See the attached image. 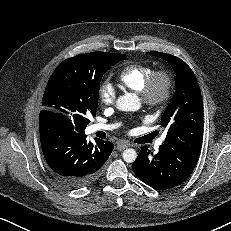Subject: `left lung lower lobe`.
<instances>
[{"label": "left lung lower lobe", "mask_w": 231, "mask_h": 231, "mask_svg": "<svg viewBox=\"0 0 231 231\" xmlns=\"http://www.w3.org/2000/svg\"><path fill=\"white\" fill-rule=\"evenodd\" d=\"M200 152L178 150L162 144L157 154L143 146L132 169L145 184L158 190L180 185L194 170Z\"/></svg>", "instance_id": "left-lung-lower-lobe-1"}]
</instances>
